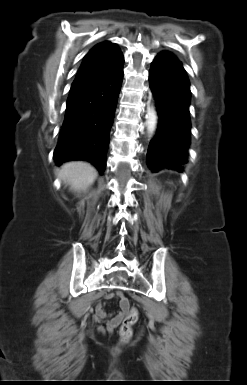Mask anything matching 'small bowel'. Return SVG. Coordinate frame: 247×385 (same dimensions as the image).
<instances>
[{
	"mask_svg": "<svg viewBox=\"0 0 247 385\" xmlns=\"http://www.w3.org/2000/svg\"><path fill=\"white\" fill-rule=\"evenodd\" d=\"M105 298L108 300H118L121 310L115 313H108L105 309V303H97L93 319L95 322L99 323L97 329L100 333H105L106 331H113L116 327H118L126 314L125 307L128 305V301L123 296L122 290H116L114 292L108 293Z\"/></svg>",
	"mask_w": 247,
	"mask_h": 385,
	"instance_id": "1",
	"label": "small bowel"
}]
</instances>
